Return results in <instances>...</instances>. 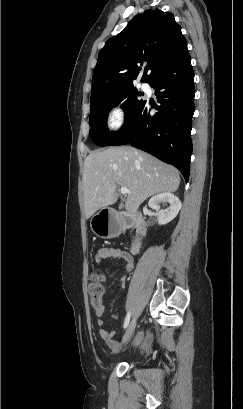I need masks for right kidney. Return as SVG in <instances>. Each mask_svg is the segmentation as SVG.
I'll return each instance as SVG.
<instances>
[{"mask_svg":"<svg viewBox=\"0 0 243 409\" xmlns=\"http://www.w3.org/2000/svg\"><path fill=\"white\" fill-rule=\"evenodd\" d=\"M163 202L170 204L169 210H159V204ZM148 206L157 212L158 224L165 225L177 216L182 205L177 196L170 192H165L153 196L149 200Z\"/></svg>","mask_w":243,"mask_h":409,"instance_id":"1","label":"right kidney"}]
</instances>
